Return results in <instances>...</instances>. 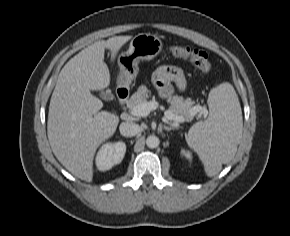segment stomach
<instances>
[{
	"instance_id": "1",
	"label": "stomach",
	"mask_w": 290,
	"mask_h": 236,
	"mask_svg": "<svg viewBox=\"0 0 290 236\" xmlns=\"http://www.w3.org/2000/svg\"><path fill=\"white\" fill-rule=\"evenodd\" d=\"M160 38L150 33H140L133 37L129 49L118 57L120 86H129L138 73V64L141 60H151L162 50Z\"/></svg>"
}]
</instances>
